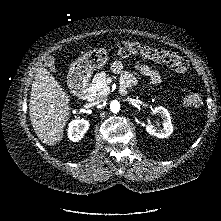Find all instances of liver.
Wrapping results in <instances>:
<instances>
[{"label":"liver","mask_w":221,"mask_h":221,"mask_svg":"<svg viewBox=\"0 0 221 221\" xmlns=\"http://www.w3.org/2000/svg\"><path fill=\"white\" fill-rule=\"evenodd\" d=\"M70 98L57 80L38 67L32 84L29 115L37 137L53 146L63 138L70 117Z\"/></svg>","instance_id":"6515ba94"}]
</instances>
